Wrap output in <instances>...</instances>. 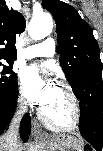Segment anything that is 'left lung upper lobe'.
<instances>
[{
    "mask_svg": "<svg viewBox=\"0 0 103 151\" xmlns=\"http://www.w3.org/2000/svg\"><path fill=\"white\" fill-rule=\"evenodd\" d=\"M42 7L55 19L56 51L60 54V65L71 86L84 78L90 68H102L98 43L77 10L59 0H43Z\"/></svg>",
    "mask_w": 103,
    "mask_h": 151,
    "instance_id": "obj_1",
    "label": "left lung upper lobe"
}]
</instances>
